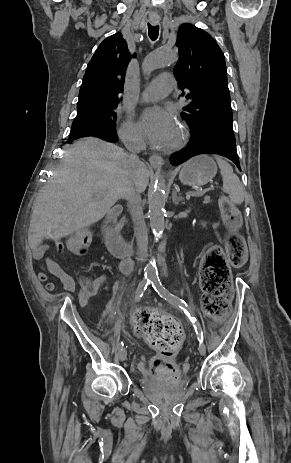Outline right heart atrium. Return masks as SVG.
I'll return each instance as SVG.
<instances>
[{
  "mask_svg": "<svg viewBox=\"0 0 291 463\" xmlns=\"http://www.w3.org/2000/svg\"><path fill=\"white\" fill-rule=\"evenodd\" d=\"M120 134L126 142L141 143L143 140L139 127L130 119L124 122Z\"/></svg>",
  "mask_w": 291,
  "mask_h": 463,
  "instance_id": "obj_1",
  "label": "right heart atrium"
}]
</instances>
